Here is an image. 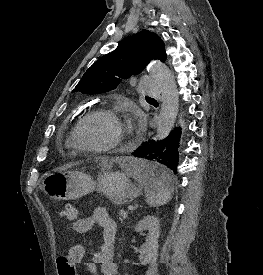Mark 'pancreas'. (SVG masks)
Returning <instances> with one entry per match:
<instances>
[{"label": "pancreas", "mask_w": 263, "mask_h": 275, "mask_svg": "<svg viewBox=\"0 0 263 275\" xmlns=\"http://www.w3.org/2000/svg\"><path fill=\"white\" fill-rule=\"evenodd\" d=\"M119 215H120V221H123V219H126L128 217L127 211H124V210H120Z\"/></svg>", "instance_id": "1"}]
</instances>
